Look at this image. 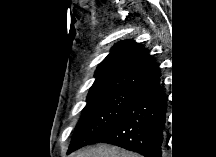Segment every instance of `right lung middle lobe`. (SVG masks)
<instances>
[{
    "label": "right lung middle lobe",
    "instance_id": "right-lung-middle-lobe-1",
    "mask_svg": "<svg viewBox=\"0 0 216 157\" xmlns=\"http://www.w3.org/2000/svg\"><path fill=\"white\" fill-rule=\"evenodd\" d=\"M134 90L118 89L87 98V105L75 127L68 153L92 144L122 116Z\"/></svg>",
    "mask_w": 216,
    "mask_h": 157
}]
</instances>
